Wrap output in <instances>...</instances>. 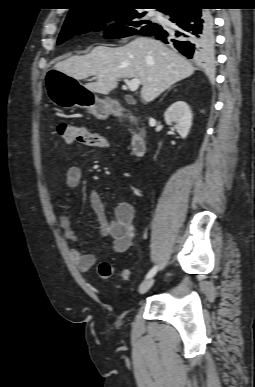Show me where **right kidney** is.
<instances>
[{"label": "right kidney", "instance_id": "right-kidney-1", "mask_svg": "<svg viewBox=\"0 0 255 387\" xmlns=\"http://www.w3.org/2000/svg\"><path fill=\"white\" fill-rule=\"evenodd\" d=\"M165 121L168 125L175 124L181 138H186L192 126V111L184 101L173 103L164 113Z\"/></svg>", "mask_w": 255, "mask_h": 387}]
</instances>
